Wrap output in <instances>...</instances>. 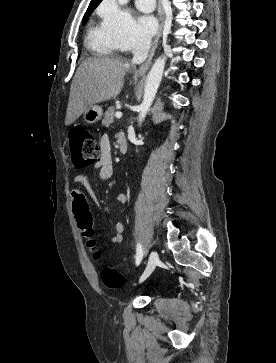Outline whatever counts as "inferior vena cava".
Wrapping results in <instances>:
<instances>
[{"instance_id":"1","label":"inferior vena cava","mask_w":276,"mask_h":363,"mask_svg":"<svg viewBox=\"0 0 276 363\" xmlns=\"http://www.w3.org/2000/svg\"><path fill=\"white\" fill-rule=\"evenodd\" d=\"M151 46V37L150 35L144 34L140 35L136 38L133 44V64H141L143 63L147 56Z\"/></svg>"}]
</instances>
